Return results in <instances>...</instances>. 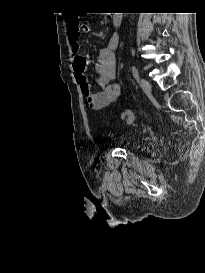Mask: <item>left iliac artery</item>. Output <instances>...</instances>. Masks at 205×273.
Here are the masks:
<instances>
[{
    "label": "left iliac artery",
    "mask_w": 205,
    "mask_h": 273,
    "mask_svg": "<svg viewBox=\"0 0 205 273\" xmlns=\"http://www.w3.org/2000/svg\"><path fill=\"white\" fill-rule=\"evenodd\" d=\"M132 74L135 79H139V71L135 65L132 66Z\"/></svg>",
    "instance_id": "1"
}]
</instances>
